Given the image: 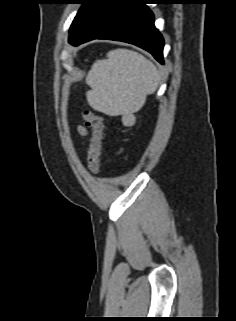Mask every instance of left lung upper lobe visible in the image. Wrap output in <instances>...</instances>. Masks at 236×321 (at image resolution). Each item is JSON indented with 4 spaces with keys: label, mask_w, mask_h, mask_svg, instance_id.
Instances as JSON below:
<instances>
[{
    "label": "left lung upper lobe",
    "mask_w": 236,
    "mask_h": 321,
    "mask_svg": "<svg viewBox=\"0 0 236 321\" xmlns=\"http://www.w3.org/2000/svg\"><path fill=\"white\" fill-rule=\"evenodd\" d=\"M94 0H77V3L82 4V7L78 11L76 17L74 18L69 32V40L75 35L77 32L84 16L86 15L87 11L89 10L90 6L92 5V2Z\"/></svg>",
    "instance_id": "1"
}]
</instances>
